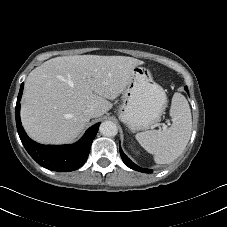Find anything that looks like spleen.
Here are the masks:
<instances>
[{"label": "spleen", "instance_id": "1", "mask_svg": "<svg viewBox=\"0 0 227 227\" xmlns=\"http://www.w3.org/2000/svg\"><path fill=\"white\" fill-rule=\"evenodd\" d=\"M170 116L173 123L168 129L140 132L135 136L139 144L154 155L157 164H169L177 159L191 136V110L180 93L173 95Z\"/></svg>", "mask_w": 227, "mask_h": 227}]
</instances>
